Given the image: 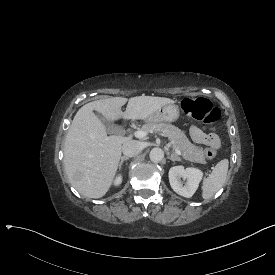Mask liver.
I'll return each mask as SVG.
<instances>
[{"instance_id": "obj_1", "label": "liver", "mask_w": 275, "mask_h": 275, "mask_svg": "<svg viewBox=\"0 0 275 275\" xmlns=\"http://www.w3.org/2000/svg\"><path fill=\"white\" fill-rule=\"evenodd\" d=\"M128 101L126 110L121 107ZM173 103L160 97L140 96L126 99L114 97L84 105L74 117L65 139L64 166L71 184L83 195L101 197L107 191L121 157V145L128 138L107 136L105 126L92 112L107 118L123 115L143 119L159 107ZM81 170L82 176H74Z\"/></svg>"}]
</instances>
